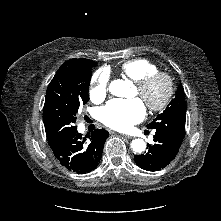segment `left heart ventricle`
Returning a JSON list of instances; mask_svg holds the SVG:
<instances>
[{
    "label": "left heart ventricle",
    "instance_id": "obj_1",
    "mask_svg": "<svg viewBox=\"0 0 221 221\" xmlns=\"http://www.w3.org/2000/svg\"><path fill=\"white\" fill-rule=\"evenodd\" d=\"M138 93V90H137ZM164 94V84L163 82H157L148 92V99L152 102L159 101Z\"/></svg>",
    "mask_w": 221,
    "mask_h": 221
}]
</instances>
